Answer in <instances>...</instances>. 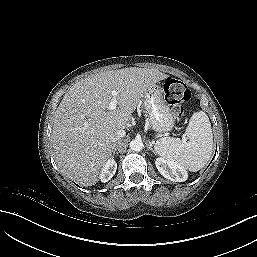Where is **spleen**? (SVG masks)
I'll list each match as a JSON object with an SVG mask.
<instances>
[{
    "instance_id": "obj_1",
    "label": "spleen",
    "mask_w": 257,
    "mask_h": 257,
    "mask_svg": "<svg viewBox=\"0 0 257 257\" xmlns=\"http://www.w3.org/2000/svg\"><path fill=\"white\" fill-rule=\"evenodd\" d=\"M184 136L185 139L182 140L174 137L157 140L154 145L155 153L189 171L196 172L209 161L213 149L211 123L206 113H193Z\"/></svg>"
}]
</instances>
